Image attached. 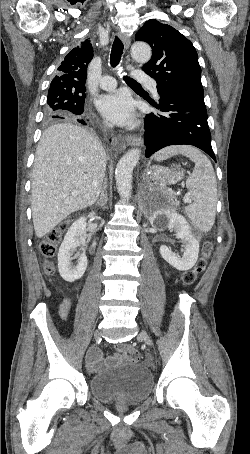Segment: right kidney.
<instances>
[{
	"label": "right kidney",
	"instance_id": "obj_1",
	"mask_svg": "<svg viewBox=\"0 0 250 454\" xmlns=\"http://www.w3.org/2000/svg\"><path fill=\"white\" fill-rule=\"evenodd\" d=\"M95 213L88 215L93 218ZM86 242V217H81L76 220L67 231L64 240L58 252V269L61 277L67 282H74L80 279L87 268V257L85 249L77 254L78 263H71V256L76 251L77 247L84 246Z\"/></svg>",
	"mask_w": 250,
	"mask_h": 454
}]
</instances>
